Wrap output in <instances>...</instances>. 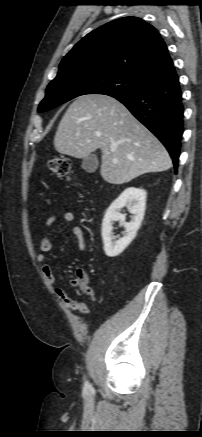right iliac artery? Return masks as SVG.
Here are the masks:
<instances>
[{
  "label": "right iliac artery",
  "instance_id": "obj_1",
  "mask_svg": "<svg viewBox=\"0 0 202 437\" xmlns=\"http://www.w3.org/2000/svg\"><path fill=\"white\" fill-rule=\"evenodd\" d=\"M90 387H91V386H90L89 382L86 381V382H85V388H86V389H89Z\"/></svg>",
  "mask_w": 202,
  "mask_h": 437
}]
</instances>
